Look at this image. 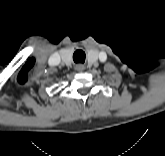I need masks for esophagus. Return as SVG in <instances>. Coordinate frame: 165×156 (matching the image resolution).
<instances>
[{
	"label": "esophagus",
	"instance_id": "34e87169",
	"mask_svg": "<svg viewBox=\"0 0 165 156\" xmlns=\"http://www.w3.org/2000/svg\"><path fill=\"white\" fill-rule=\"evenodd\" d=\"M75 69H76L77 71H83V70L85 69V66H84L83 64H77V65L75 66Z\"/></svg>",
	"mask_w": 165,
	"mask_h": 156
}]
</instances>
